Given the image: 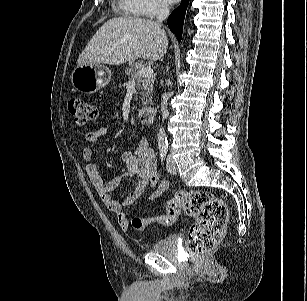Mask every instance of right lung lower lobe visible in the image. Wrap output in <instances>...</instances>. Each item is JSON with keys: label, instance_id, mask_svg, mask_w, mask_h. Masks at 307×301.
Wrapping results in <instances>:
<instances>
[{"label": "right lung lower lobe", "instance_id": "98d812e1", "mask_svg": "<svg viewBox=\"0 0 307 301\" xmlns=\"http://www.w3.org/2000/svg\"><path fill=\"white\" fill-rule=\"evenodd\" d=\"M189 0H182L180 6L168 17L167 23L170 30L175 34L178 41H181L185 12Z\"/></svg>", "mask_w": 307, "mask_h": 301}]
</instances>
